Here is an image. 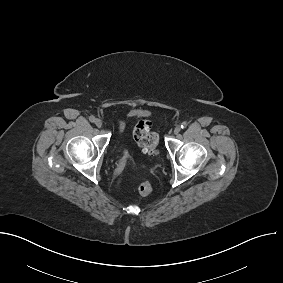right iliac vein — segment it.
Masks as SVG:
<instances>
[{
  "instance_id": "right-iliac-vein-1",
  "label": "right iliac vein",
  "mask_w": 283,
  "mask_h": 283,
  "mask_svg": "<svg viewBox=\"0 0 283 283\" xmlns=\"http://www.w3.org/2000/svg\"><path fill=\"white\" fill-rule=\"evenodd\" d=\"M95 125L100 128L102 126V121L100 119H96Z\"/></svg>"
}]
</instances>
